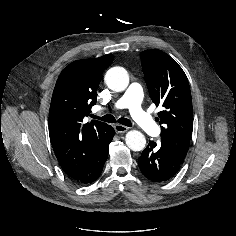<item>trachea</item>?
Here are the masks:
<instances>
[{
    "label": "trachea",
    "instance_id": "3493384b",
    "mask_svg": "<svg viewBox=\"0 0 236 236\" xmlns=\"http://www.w3.org/2000/svg\"><path fill=\"white\" fill-rule=\"evenodd\" d=\"M93 118L99 119L103 122H108V123H116L117 122L115 117L113 115H110V114L104 115L102 117L93 115ZM118 123H120L122 125H125V126H128V127L132 126L131 121L129 119L123 118V117L118 119Z\"/></svg>",
    "mask_w": 236,
    "mask_h": 236
}]
</instances>
